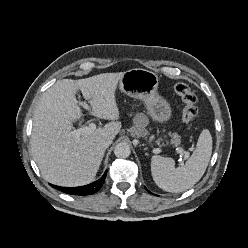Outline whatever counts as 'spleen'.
<instances>
[{"mask_svg": "<svg viewBox=\"0 0 248 248\" xmlns=\"http://www.w3.org/2000/svg\"><path fill=\"white\" fill-rule=\"evenodd\" d=\"M212 154V137L204 129L198 139L195 150L186 163L175 168L172 158L153 156L151 174L154 182L168 192H183L195 185L203 176Z\"/></svg>", "mask_w": 248, "mask_h": 248, "instance_id": "spleen-1", "label": "spleen"}]
</instances>
